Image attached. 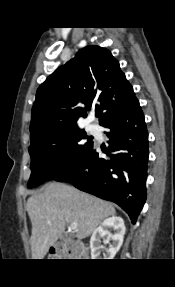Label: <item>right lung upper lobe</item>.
Listing matches in <instances>:
<instances>
[{
  "label": "right lung upper lobe",
  "instance_id": "obj_1",
  "mask_svg": "<svg viewBox=\"0 0 175 287\" xmlns=\"http://www.w3.org/2000/svg\"><path fill=\"white\" fill-rule=\"evenodd\" d=\"M133 87L111 52L87 46L59 67L36 93L30 125L31 143L77 128L92 107L101 122L136 101Z\"/></svg>",
  "mask_w": 175,
  "mask_h": 287
}]
</instances>
